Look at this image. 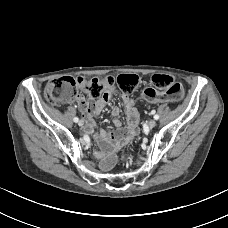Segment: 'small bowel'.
<instances>
[{"instance_id":"1","label":"small bowel","mask_w":228,"mask_h":228,"mask_svg":"<svg viewBox=\"0 0 228 228\" xmlns=\"http://www.w3.org/2000/svg\"><path fill=\"white\" fill-rule=\"evenodd\" d=\"M113 89L105 92L100 98L86 101L79 99V107L82 117L85 120L84 132L95 134L96 139L105 154V165L111 167L114 163L115 153L127 142L134 139L139 132L140 113L135 108L134 100L128 95L123 94L122 99L125 105L128 123L125 128H121V122L116 117L120 114L118 107H113L111 113L115 117L113 120L114 130L105 132L97 129L94 117L98 116L107 104Z\"/></svg>"}]
</instances>
